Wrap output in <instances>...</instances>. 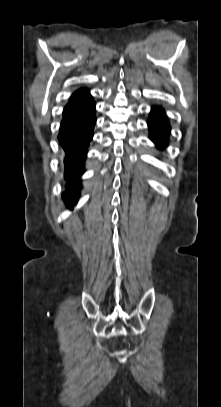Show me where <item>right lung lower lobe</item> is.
I'll return each mask as SVG.
<instances>
[{
	"label": "right lung lower lobe",
	"instance_id": "obj_1",
	"mask_svg": "<svg viewBox=\"0 0 221 407\" xmlns=\"http://www.w3.org/2000/svg\"><path fill=\"white\" fill-rule=\"evenodd\" d=\"M96 122L95 102L89 91L81 89L70 98L63 111L59 142L65 150V179L67 189L63 193L64 202L73 207L79 196V177L84 166L87 147L93 137Z\"/></svg>",
	"mask_w": 221,
	"mask_h": 407
}]
</instances>
